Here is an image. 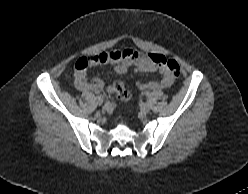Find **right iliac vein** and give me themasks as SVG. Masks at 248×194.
Instances as JSON below:
<instances>
[{"mask_svg": "<svg viewBox=\"0 0 248 194\" xmlns=\"http://www.w3.org/2000/svg\"><path fill=\"white\" fill-rule=\"evenodd\" d=\"M96 103H97L98 105H102L103 99H102V98H96Z\"/></svg>", "mask_w": 248, "mask_h": 194, "instance_id": "63e3f726", "label": "right iliac vein"}]
</instances>
